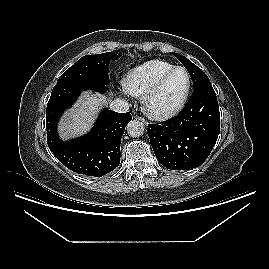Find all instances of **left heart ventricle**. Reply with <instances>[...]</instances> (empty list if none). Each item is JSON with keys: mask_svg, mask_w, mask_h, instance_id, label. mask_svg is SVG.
<instances>
[{"mask_svg": "<svg viewBox=\"0 0 269 269\" xmlns=\"http://www.w3.org/2000/svg\"><path fill=\"white\" fill-rule=\"evenodd\" d=\"M187 85L184 71L175 72L164 84L154 98L152 107L156 110H165L175 105L182 97Z\"/></svg>", "mask_w": 269, "mask_h": 269, "instance_id": "b2bd125f", "label": "left heart ventricle"}]
</instances>
